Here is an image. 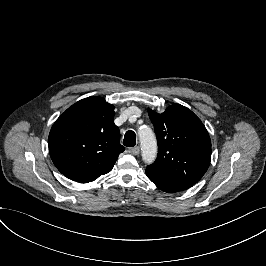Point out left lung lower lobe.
Returning a JSON list of instances; mask_svg holds the SVG:
<instances>
[{
    "label": "left lung lower lobe",
    "instance_id": "1",
    "mask_svg": "<svg viewBox=\"0 0 266 266\" xmlns=\"http://www.w3.org/2000/svg\"><path fill=\"white\" fill-rule=\"evenodd\" d=\"M147 177L161 190L167 193H175L179 191L186 190L187 187L170 182L166 179H163L157 175L146 172Z\"/></svg>",
    "mask_w": 266,
    "mask_h": 266
}]
</instances>
